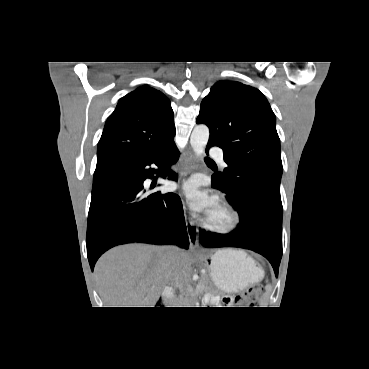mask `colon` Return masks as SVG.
<instances>
[{
	"label": "colon",
	"instance_id": "1",
	"mask_svg": "<svg viewBox=\"0 0 369 369\" xmlns=\"http://www.w3.org/2000/svg\"><path fill=\"white\" fill-rule=\"evenodd\" d=\"M263 288L260 285H253L243 293L234 298V304L240 307L254 306L262 297Z\"/></svg>",
	"mask_w": 369,
	"mask_h": 369
}]
</instances>
